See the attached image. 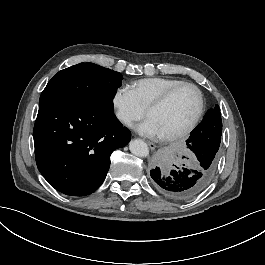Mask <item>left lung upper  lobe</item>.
<instances>
[{
	"mask_svg": "<svg viewBox=\"0 0 265 265\" xmlns=\"http://www.w3.org/2000/svg\"><path fill=\"white\" fill-rule=\"evenodd\" d=\"M192 132L200 135L201 137L220 142L222 134V121L219 106L216 105L213 109H210L204 116L201 124H199Z\"/></svg>",
	"mask_w": 265,
	"mask_h": 265,
	"instance_id": "left-lung-upper-lobe-1",
	"label": "left lung upper lobe"
}]
</instances>
